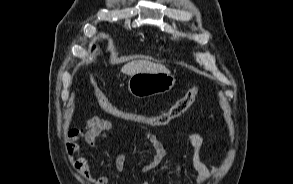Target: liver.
<instances>
[{"label":"liver","mask_w":293,"mask_h":184,"mask_svg":"<svg viewBox=\"0 0 293 184\" xmlns=\"http://www.w3.org/2000/svg\"><path fill=\"white\" fill-rule=\"evenodd\" d=\"M122 73L127 75H134L139 72H148V73H166L169 70L162 64L153 63L148 60H133L125 64L122 69Z\"/></svg>","instance_id":"6515ba94"}]
</instances>
